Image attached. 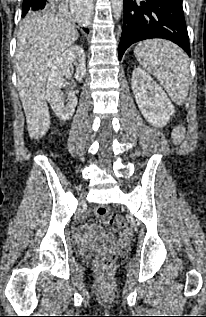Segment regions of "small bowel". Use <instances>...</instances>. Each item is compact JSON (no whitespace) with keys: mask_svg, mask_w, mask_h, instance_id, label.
Instances as JSON below:
<instances>
[{"mask_svg":"<svg viewBox=\"0 0 206 317\" xmlns=\"http://www.w3.org/2000/svg\"><path fill=\"white\" fill-rule=\"evenodd\" d=\"M74 232H75L77 239L82 244L87 243L94 236H97L98 238H101L103 236V231L98 226L85 225V226H82L79 228H75ZM120 237H121V240L123 242L128 241L131 237L130 230L127 228H122L121 233H120Z\"/></svg>","mask_w":206,"mask_h":317,"instance_id":"c3829d8e","label":"small bowel"}]
</instances>
